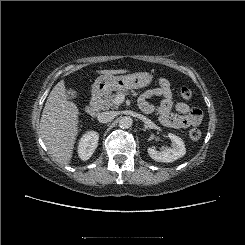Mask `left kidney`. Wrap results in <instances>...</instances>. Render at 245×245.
<instances>
[{"instance_id": "5707ae66", "label": "left kidney", "mask_w": 245, "mask_h": 245, "mask_svg": "<svg viewBox=\"0 0 245 245\" xmlns=\"http://www.w3.org/2000/svg\"><path fill=\"white\" fill-rule=\"evenodd\" d=\"M168 137L172 141V148H165L163 151H157L154 148H148L149 156L157 162H173L186 153V148L183 140L175 134L169 133Z\"/></svg>"}]
</instances>
